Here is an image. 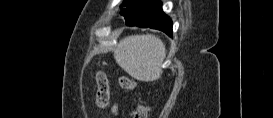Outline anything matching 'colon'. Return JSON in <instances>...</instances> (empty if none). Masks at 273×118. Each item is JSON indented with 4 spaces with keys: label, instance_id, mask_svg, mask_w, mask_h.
<instances>
[{
    "label": "colon",
    "instance_id": "5ec220e1",
    "mask_svg": "<svg viewBox=\"0 0 273 118\" xmlns=\"http://www.w3.org/2000/svg\"><path fill=\"white\" fill-rule=\"evenodd\" d=\"M96 97L95 104L98 108H104L109 103V84L107 76L104 72L99 71L96 74ZM119 85L124 90H133L136 87V81L128 76L119 78ZM147 107L143 103H139L133 113V118H147Z\"/></svg>",
    "mask_w": 273,
    "mask_h": 118
}]
</instances>
